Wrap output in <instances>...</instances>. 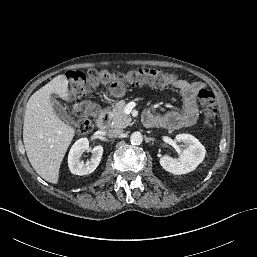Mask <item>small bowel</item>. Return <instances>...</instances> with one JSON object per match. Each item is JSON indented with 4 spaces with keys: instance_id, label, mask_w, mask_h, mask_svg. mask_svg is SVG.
Returning <instances> with one entry per match:
<instances>
[{
    "instance_id": "c3829d8e",
    "label": "small bowel",
    "mask_w": 257,
    "mask_h": 257,
    "mask_svg": "<svg viewBox=\"0 0 257 257\" xmlns=\"http://www.w3.org/2000/svg\"><path fill=\"white\" fill-rule=\"evenodd\" d=\"M170 86L178 90L181 95V111H168L164 114L147 111L144 114V122L147 126L179 129L192 126L197 121V94L203 88V84L179 79Z\"/></svg>"
}]
</instances>
